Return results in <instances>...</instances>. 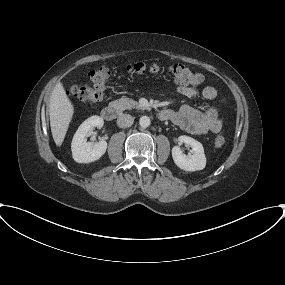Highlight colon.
I'll list each match as a JSON object with an SVG mask.
<instances>
[{
  "instance_id": "5ec220e1",
  "label": "colon",
  "mask_w": 285,
  "mask_h": 285,
  "mask_svg": "<svg viewBox=\"0 0 285 285\" xmlns=\"http://www.w3.org/2000/svg\"><path fill=\"white\" fill-rule=\"evenodd\" d=\"M125 70L129 74L137 76L166 74L174 79L176 83L188 86H199L207 80L205 75L193 72L188 67L179 63L160 65L157 63L145 64L143 62H136L127 65ZM111 74L112 71L108 67L102 66L93 69L88 75L89 83L73 85L68 90V94L75 99L95 105L102 100L106 83ZM226 141L225 136L218 135L214 139V144L216 147H222L226 144Z\"/></svg>"
}]
</instances>
